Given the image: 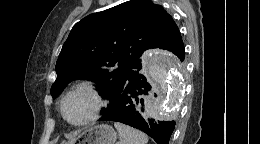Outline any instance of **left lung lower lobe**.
I'll return each instance as SVG.
<instances>
[{"label": "left lung lower lobe", "mask_w": 260, "mask_h": 144, "mask_svg": "<svg viewBox=\"0 0 260 144\" xmlns=\"http://www.w3.org/2000/svg\"><path fill=\"white\" fill-rule=\"evenodd\" d=\"M162 49L171 51L181 62L184 60L185 49L180 33ZM140 70L141 62L127 69L100 121L121 122L145 132L157 144H169L175 122L157 121L148 117L147 104L154 101L157 94L145 76L139 73Z\"/></svg>", "instance_id": "obj_1"}]
</instances>
